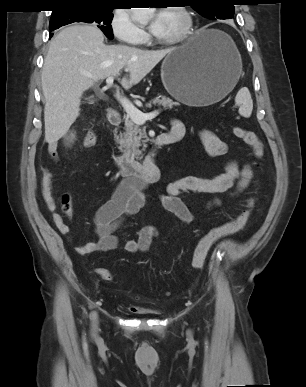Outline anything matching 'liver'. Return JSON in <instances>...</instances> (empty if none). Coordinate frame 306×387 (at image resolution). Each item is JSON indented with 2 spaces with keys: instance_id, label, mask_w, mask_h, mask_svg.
<instances>
[{
  "instance_id": "liver-1",
  "label": "liver",
  "mask_w": 306,
  "mask_h": 387,
  "mask_svg": "<svg viewBox=\"0 0 306 387\" xmlns=\"http://www.w3.org/2000/svg\"><path fill=\"white\" fill-rule=\"evenodd\" d=\"M175 48L143 50L127 45L104 44L103 33L93 25H73L50 42L41 85L45 97V140L55 144L79 116L84 91L99 80L129 72L120 83L124 89L138 84Z\"/></svg>"
}]
</instances>
